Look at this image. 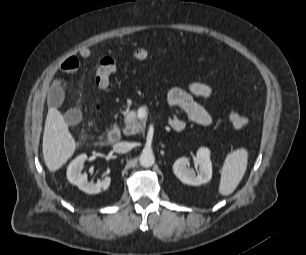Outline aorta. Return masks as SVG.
<instances>
[{
	"label": "aorta",
	"mask_w": 306,
	"mask_h": 255,
	"mask_svg": "<svg viewBox=\"0 0 306 255\" xmlns=\"http://www.w3.org/2000/svg\"><path fill=\"white\" fill-rule=\"evenodd\" d=\"M139 162L142 167L148 168L155 163V157L151 151H143L139 157Z\"/></svg>",
	"instance_id": "obj_1"
}]
</instances>
